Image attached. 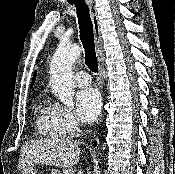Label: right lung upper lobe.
<instances>
[{
  "label": "right lung upper lobe",
  "instance_id": "cb5924a9",
  "mask_svg": "<svg viewBox=\"0 0 175 174\" xmlns=\"http://www.w3.org/2000/svg\"><path fill=\"white\" fill-rule=\"evenodd\" d=\"M35 77H36V72L34 73V77H33L32 85H33V83H34V81H35Z\"/></svg>",
  "mask_w": 175,
  "mask_h": 174
}]
</instances>
